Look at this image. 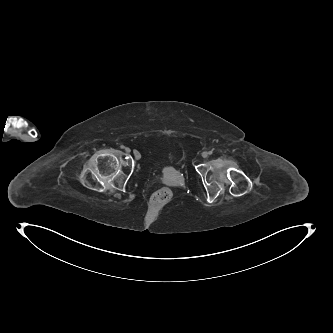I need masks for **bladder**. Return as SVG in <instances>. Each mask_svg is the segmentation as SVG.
<instances>
[{"label": "bladder", "mask_w": 333, "mask_h": 333, "mask_svg": "<svg viewBox=\"0 0 333 333\" xmlns=\"http://www.w3.org/2000/svg\"><path fill=\"white\" fill-rule=\"evenodd\" d=\"M172 164H176V165H178L179 164V162H171Z\"/></svg>", "instance_id": "31cf9c89"}]
</instances>
